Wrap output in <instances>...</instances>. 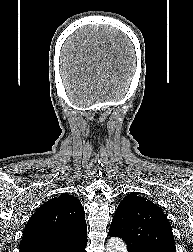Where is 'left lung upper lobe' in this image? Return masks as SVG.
Wrapping results in <instances>:
<instances>
[{"instance_id": "5c2ea615", "label": "left lung upper lobe", "mask_w": 193, "mask_h": 252, "mask_svg": "<svg viewBox=\"0 0 193 252\" xmlns=\"http://www.w3.org/2000/svg\"><path fill=\"white\" fill-rule=\"evenodd\" d=\"M108 234L122 238L128 252H176L171 225L161 208L136 194L121 201Z\"/></svg>"}]
</instances>
